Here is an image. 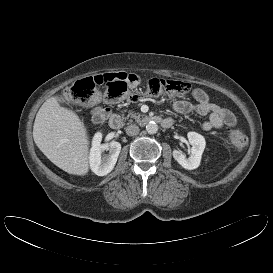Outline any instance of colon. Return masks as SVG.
Instances as JSON below:
<instances>
[{"label":"colon","mask_w":273,"mask_h":273,"mask_svg":"<svg viewBox=\"0 0 273 273\" xmlns=\"http://www.w3.org/2000/svg\"><path fill=\"white\" fill-rule=\"evenodd\" d=\"M136 77L127 73H105L87 77L77 81L68 91L67 97L71 103L77 105H93L100 99L109 103L119 101H136L139 96L128 90V83ZM105 87L102 95L97 92V87ZM190 90V84L176 79L151 78L146 84V93L150 97L182 96ZM230 142L233 147L241 151L248 144L247 136L239 130L229 131Z\"/></svg>","instance_id":"colon-1"}]
</instances>
